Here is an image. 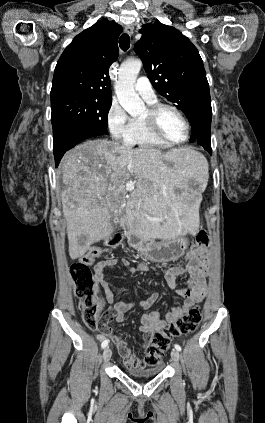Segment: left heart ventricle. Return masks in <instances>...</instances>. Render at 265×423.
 Instances as JSON below:
<instances>
[{"label": "left heart ventricle", "mask_w": 265, "mask_h": 423, "mask_svg": "<svg viewBox=\"0 0 265 423\" xmlns=\"http://www.w3.org/2000/svg\"><path fill=\"white\" fill-rule=\"evenodd\" d=\"M163 134L172 141H182L186 136V128L181 118L171 110H164L158 117Z\"/></svg>", "instance_id": "b2bd125f"}]
</instances>
